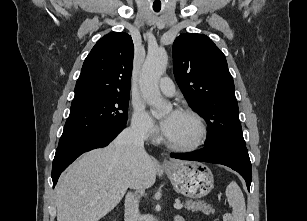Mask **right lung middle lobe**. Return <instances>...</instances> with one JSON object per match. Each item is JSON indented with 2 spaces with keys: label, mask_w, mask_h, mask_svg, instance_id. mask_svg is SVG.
Segmentation results:
<instances>
[{
  "label": "right lung middle lobe",
  "mask_w": 307,
  "mask_h": 221,
  "mask_svg": "<svg viewBox=\"0 0 307 221\" xmlns=\"http://www.w3.org/2000/svg\"><path fill=\"white\" fill-rule=\"evenodd\" d=\"M128 103L129 93L109 94L72 102L59 144L125 126Z\"/></svg>",
  "instance_id": "right-lung-middle-lobe-1"
}]
</instances>
